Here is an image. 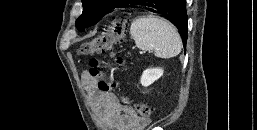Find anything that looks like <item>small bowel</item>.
Segmentation results:
<instances>
[{
	"label": "small bowel",
	"mask_w": 257,
	"mask_h": 130,
	"mask_svg": "<svg viewBox=\"0 0 257 130\" xmlns=\"http://www.w3.org/2000/svg\"><path fill=\"white\" fill-rule=\"evenodd\" d=\"M82 82L92 105L112 130H143L148 125L149 120L138 116L132 108L121 105L115 94L99 90L97 79L88 71L82 74Z\"/></svg>",
	"instance_id": "small-bowel-1"
}]
</instances>
